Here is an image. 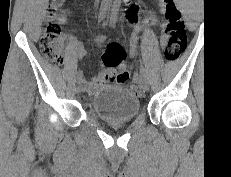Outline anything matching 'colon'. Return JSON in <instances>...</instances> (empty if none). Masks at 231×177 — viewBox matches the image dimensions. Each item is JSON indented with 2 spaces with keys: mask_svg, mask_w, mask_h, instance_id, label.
<instances>
[{
  "mask_svg": "<svg viewBox=\"0 0 231 177\" xmlns=\"http://www.w3.org/2000/svg\"><path fill=\"white\" fill-rule=\"evenodd\" d=\"M57 0H52V6ZM165 6V28L162 39L165 41V58L174 61L185 51L187 35L181 13L173 0H163ZM40 49L46 60L54 64H62L64 61L62 50L61 28L58 23L50 21L44 28L40 38ZM125 51L118 44H110L103 54V62L106 65L115 66L125 59ZM129 88L140 92L136 85Z\"/></svg>",
  "mask_w": 231,
  "mask_h": 177,
  "instance_id": "colon-1",
  "label": "colon"
}]
</instances>
